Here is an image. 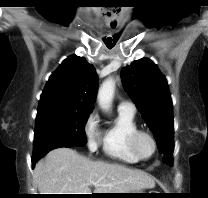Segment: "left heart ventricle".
<instances>
[{
    "label": "left heart ventricle",
    "instance_id": "1",
    "mask_svg": "<svg viewBox=\"0 0 208 198\" xmlns=\"http://www.w3.org/2000/svg\"><path fill=\"white\" fill-rule=\"evenodd\" d=\"M138 145L141 153L145 156H149L153 151V144L146 136L140 138Z\"/></svg>",
    "mask_w": 208,
    "mask_h": 198
}]
</instances>
